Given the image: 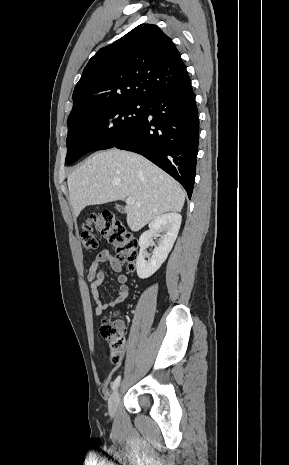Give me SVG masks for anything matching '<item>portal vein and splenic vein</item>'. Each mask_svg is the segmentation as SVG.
<instances>
[{"mask_svg":"<svg viewBox=\"0 0 289 465\" xmlns=\"http://www.w3.org/2000/svg\"><path fill=\"white\" fill-rule=\"evenodd\" d=\"M134 203H135L134 198L128 197V198L126 199V204H127V205H132V204H134Z\"/></svg>","mask_w":289,"mask_h":465,"instance_id":"obj_1","label":"portal vein and splenic vein"}]
</instances>
